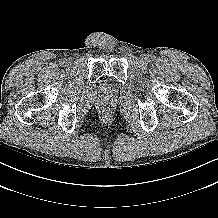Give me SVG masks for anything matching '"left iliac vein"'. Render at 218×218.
<instances>
[{"instance_id": "1", "label": "left iliac vein", "mask_w": 218, "mask_h": 218, "mask_svg": "<svg viewBox=\"0 0 218 218\" xmlns=\"http://www.w3.org/2000/svg\"><path fill=\"white\" fill-rule=\"evenodd\" d=\"M142 61H143V63H146L148 61V56L147 55H143L142 56Z\"/></svg>"}]
</instances>
